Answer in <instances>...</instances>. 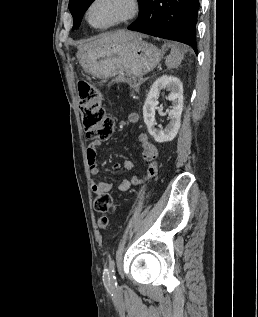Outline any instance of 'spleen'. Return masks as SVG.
I'll list each match as a JSON object with an SVG mask.
<instances>
[{"mask_svg":"<svg viewBox=\"0 0 258 317\" xmlns=\"http://www.w3.org/2000/svg\"><path fill=\"white\" fill-rule=\"evenodd\" d=\"M184 52H187L186 46H184V48H180V46L171 44V52L165 60L166 66H168V68H177L184 56Z\"/></svg>","mask_w":258,"mask_h":317,"instance_id":"spleen-1","label":"spleen"}]
</instances>
